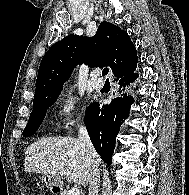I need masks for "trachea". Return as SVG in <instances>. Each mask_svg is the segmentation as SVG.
<instances>
[{"instance_id": "1", "label": "trachea", "mask_w": 189, "mask_h": 195, "mask_svg": "<svg viewBox=\"0 0 189 195\" xmlns=\"http://www.w3.org/2000/svg\"><path fill=\"white\" fill-rule=\"evenodd\" d=\"M108 73H109V69L108 68H104L103 71H102V75L106 76ZM107 80H108V78H107Z\"/></svg>"}]
</instances>
